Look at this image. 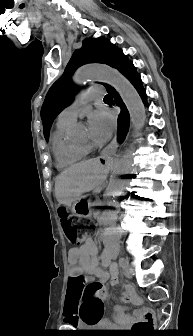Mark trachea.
<instances>
[{
	"label": "trachea",
	"mask_w": 193,
	"mask_h": 336,
	"mask_svg": "<svg viewBox=\"0 0 193 336\" xmlns=\"http://www.w3.org/2000/svg\"><path fill=\"white\" fill-rule=\"evenodd\" d=\"M112 98H111V96H109V95H106L105 96V98H104V100H111Z\"/></svg>",
	"instance_id": "1"
}]
</instances>
